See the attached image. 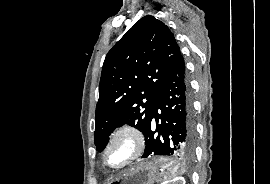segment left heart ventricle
Listing matches in <instances>:
<instances>
[{"label": "left heart ventricle", "instance_id": "b2bd125f", "mask_svg": "<svg viewBox=\"0 0 270 184\" xmlns=\"http://www.w3.org/2000/svg\"><path fill=\"white\" fill-rule=\"evenodd\" d=\"M132 152V143L126 137L120 138L107 155L109 165L116 166L124 162Z\"/></svg>", "mask_w": 270, "mask_h": 184}]
</instances>
